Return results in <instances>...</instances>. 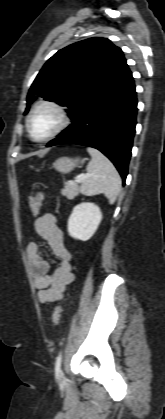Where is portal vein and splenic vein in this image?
<instances>
[{
	"label": "portal vein and splenic vein",
	"mask_w": 165,
	"mask_h": 419,
	"mask_svg": "<svg viewBox=\"0 0 165 419\" xmlns=\"http://www.w3.org/2000/svg\"><path fill=\"white\" fill-rule=\"evenodd\" d=\"M89 175L88 174H83L81 176H77L76 177V182L77 183H81L83 182ZM70 184H72V182H70Z\"/></svg>",
	"instance_id": "portal-vein-and-splenic-vein-1"
}]
</instances>
